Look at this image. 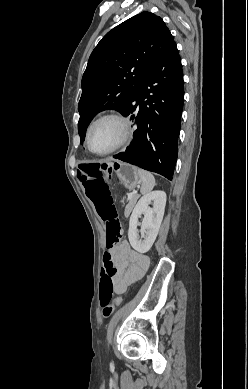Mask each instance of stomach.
Listing matches in <instances>:
<instances>
[{"label": "stomach", "instance_id": "stomach-1", "mask_svg": "<svg viewBox=\"0 0 248 389\" xmlns=\"http://www.w3.org/2000/svg\"><path fill=\"white\" fill-rule=\"evenodd\" d=\"M112 170L115 171V175L118 176L125 188L132 190L140 184L136 167L126 163H118L112 165Z\"/></svg>", "mask_w": 248, "mask_h": 389}]
</instances>
